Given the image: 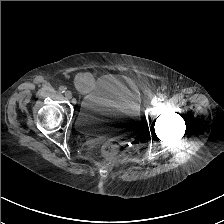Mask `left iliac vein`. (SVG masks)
<instances>
[{"label": "left iliac vein", "instance_id": "obj_1", "mask_svg": "<svg viewBox=\"0 0 224 224\" xmlns=\"http://www.w3.org/2000/svg\"><path fill=\"white\" fill-rule=\"evenodd\" d=\"M158 103H159L158 98H153L152 101H151V105H152V106H157Z\"/></svg>", "mask_w": 224, "mask_h": 224}]
</instances>
